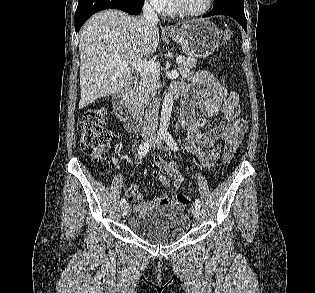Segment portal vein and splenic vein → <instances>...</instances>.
I'll return each instance as SVG.
<instances>
[{"mask_svg": "<svg viewBox=\"0 0 315 293\" xmlns=\"http://www.w3.org/2000/svg\"><path fill=\"white\" fill-rule=\"evenodd\" d=\"M184 61L183 57H177L176 58V63L180 64ZM121 64L123 66H132L135 69H137L138 71L144 72V73H148L151 72L153 74H157L159 71V66L153 62V61H120Z\"/></svg>", "mask_w": 315, "mask_h": 293, "instance_id": "1", "label": "portal vein and splenic vein"}]
</instances>
